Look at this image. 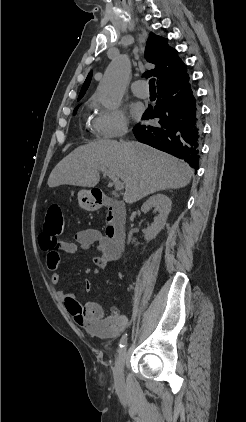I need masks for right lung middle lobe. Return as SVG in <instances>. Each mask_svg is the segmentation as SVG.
<instances>
[{"mask_svg": "<svg viewBox=\"0 0 246 422\" xmlns=\"http://www.w3.org/2000/svg\"><path fill=\"white\" fill-rule=\"evenodd\" d=\"M77 109H78V107H76V108H75V110H74V114L76 113Z\"/></svg>", "mask_w": 246, "mask_h": 422, "instance_id": "obj_1", "label": "right lung middle lobe"}]
</instances>
